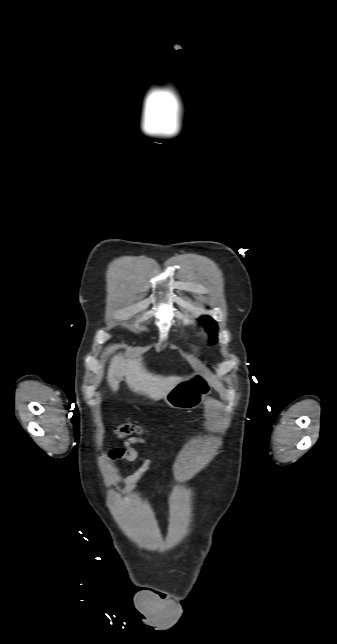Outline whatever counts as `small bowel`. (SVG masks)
Masks as SVG:
<instances>
[{"label": "small bowel", "mask_w": 337, "mask_h": 644, "mask_svg": "<svg viewBox=\"0 0 337 644\" xmlns=\"http://www.w3.org/2000/svg\"><path fill=\"white\" fill-rule=\"evenodd\" d=\"M143 443H145L143 439L135 438V437L129 438L124 442L123 447H117V448L111 449L108 454V459L110 462H113L115 460H125L128 462H134L138 459L139 454L133 446L135 444H143ZM151 464H152V460L150 458H146L135 472L128 475L124 480V484L126 488L128 489L133 488L135 483L139 480V478L150 468Z\"/></svg>", "instance_id": "obj_1"}]
</instances>
